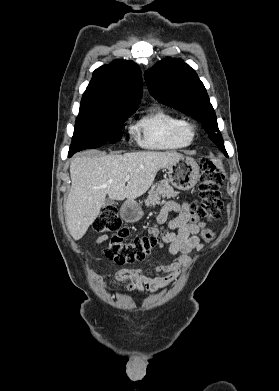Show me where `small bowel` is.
I'll return each instance as SVG.
<instances>
[{
	"label": "small bowel",
	"instance_id": "c3829d8e",
	"mask_svg": "<svg viewBox=\"0 0 279 391\" xmlns=\"http://www.w3.org/2000/svg\"><path fill=\"white\" fill-rule=\"evenodd\" d=\"M176 212L178 216L169 222V231L163 236L162 243L169 244L168 252L176 256L175 260L158 264L153 272H163L164 277H150L149 271L143 269H121L117 272L116 278L120 281H127V292L154 293L158 288L171 284L177 277L180 269L190 263L189 254L199 251L203 245L200 242L199 234L205 231L204 224L191 221L190 208L187 203L179 204L173 201L167 202L161 209L157 221L158 228H151L149 234L158 235L163 231L169 213ZM108 239L107 236L98 238L100 244Z\"/></svg>",
	"mask_w": 279,
	"mask_h": 391
}]
</instances>
